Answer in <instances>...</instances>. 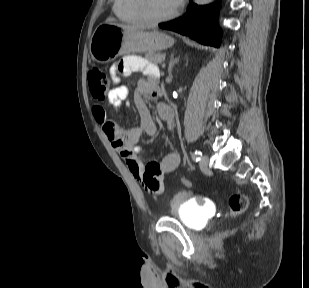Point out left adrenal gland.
Returning <instances> with one entry per match:
<instances>
[{
    "instance_id": "obj_1",
    "label": "left adrenal gland",
    "mask_w": 309,
    "mask_h": 288,
    "mask_svg": "<svg viewBox=\"0 0 309 288\" xmlns=\"http://www.w3.org/2000/svg\"><path fill=\"white\" fill-rule=\"evenodd\" d=\"M178 61H179V57L174 58V53H172L170 56V62H169V67H168L169 77H172V68Z\"/></svg>"
}]
</instances>
